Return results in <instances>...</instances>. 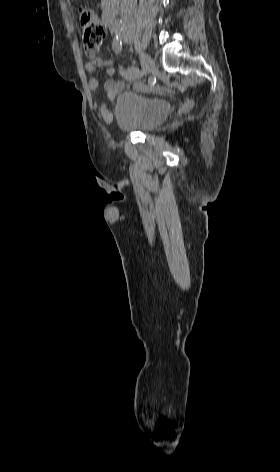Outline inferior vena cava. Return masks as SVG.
Segmentation results:
<instances>
[{"label":"inferior vena cava","mask_w":280,"mask_h":472,"mask_svg":"<svg viewBox=\"0 0 280 472\" xmlns=\"http://www.w3.org/2000/svg\"><path fill=\"white\" fill-rule=\"evenodd\" d=\"M136 4L137 0H122L121 2L122 26L124 32L133 33L135 30Z\"/></svg>","instance_id":"1"}]
</instances>
